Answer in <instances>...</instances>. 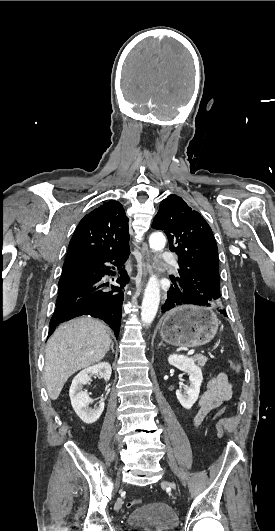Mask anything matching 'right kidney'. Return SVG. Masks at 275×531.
<instances>
[{"instance_id":"obj_1","label":"right kidney","mask_w":275,"mask_h":531,"mask_svg":"<svg viewBox=\"0 0 275 531\" xmlns=\"http://www.w3.org/2000/svg\"><path fill=\"white\" fill-rule=\"evenodd\" d=\"M111 373L112 369L109 363H98V365L83 369V371H80V373L74 377L70 387L69 397L76 415L80 417L83 423L91 425V423L98 421L104 411L105 405L103 401H100L98 407H95V409H88V405L93 403V399H90L89 395L82 391L83 385H87V383L91 381L92 375H100L105 381H109Z\"/></svg>"}]
</instances>
